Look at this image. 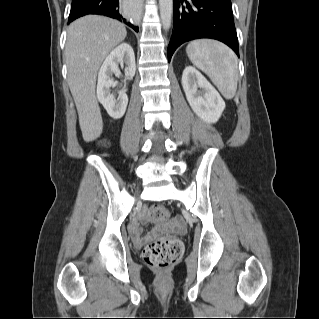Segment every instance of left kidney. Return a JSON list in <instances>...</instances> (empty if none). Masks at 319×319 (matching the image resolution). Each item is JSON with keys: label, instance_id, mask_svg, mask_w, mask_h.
Here are the masks:
<instances>
[{"label": "left kidney", "instance_id": "5707ae66", "mask_svg": "<svg viewBox=\"0 0 319 319\" xmlns=\"http://www.w3.org/2000/svg\"><path fill=\"white\" fill-rule=\"evenodd\" d=\"M182 86L194 113L205 122L216 123L225 109V102L207 79L194 67L187 66Z\"/></svg>", "mask_w": 319, "mask_h": 319}]
</instances>
